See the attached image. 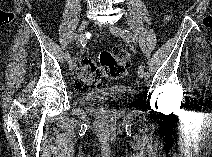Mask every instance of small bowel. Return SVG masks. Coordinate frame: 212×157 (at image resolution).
I'll list each match as a JSON object with an SVG mask.
<instances>
[{
    "instance_id": "1",
    "label": "small bowel",
    "mask_w": 212,
    "mask_h": 157,
    "mask_svg": "<svg viewBox=\"0 0 212 157\" xmlns=\"http://www.w3.org/2000/svg\"><path fill=\"white\" fill-rule=\"evenodd\" d=\"M88 61H89L88 58H86V57L82 58L81 63H80V69H82L88 63ZM79 75H80V71L78 73V77H79Z\"/></svg>"
}]
</instances>
